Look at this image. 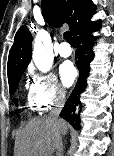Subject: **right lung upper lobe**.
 <instances>
[{"instance_id":"cb5924a9","label":"right lung upper lobe","mask_w":114,"mask_h":156,"mask_svg":"<svg viewBox=\"0 0 114 156\" xmlns=\"http://www.w3.org/2000/svg\"><path fill=\"white\" fill-rule=\"evenodd\" d=\"M96 7L90 0H42L43 15L48 23L61 26L68 23L74 35L95 13ZM32 56V35L22 26L15 35L8 57V80L21 75Z\"/></svg>"}]
</instances>
